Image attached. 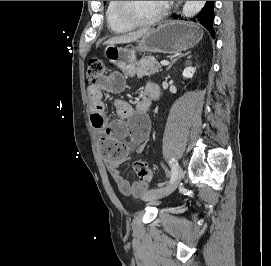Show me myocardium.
<instances>
[{"instance_id":"f54148a6","label":"myocardium","mask_w":271,"mask_h":266,"mask_svg":"<svg viewBox=\"0 0 271 266\" xmlns=\"http://www.w3.org/2000/svg\"><path fill=\"white\" fill-rule=\"evenodd\" d=\"M167 5L165 1H162V7L160 11L154 16L148 19H138L135 16L131 15L127 10V1H117V13L118 16L127 24L135 26H148L159 22L166 14Z\"/></svg>"}]
</instances>
